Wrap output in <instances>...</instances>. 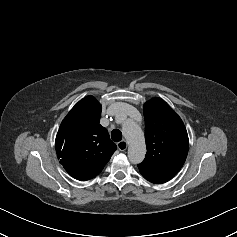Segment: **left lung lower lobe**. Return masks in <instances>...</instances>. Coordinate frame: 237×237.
<instances>
[{
	"instance_id": "1",
	"label": "left lung lower lobe",
	"mask_w": 237,
	"mask_h": 237,
	"mask_svg": "<svg viewBox=\"0 0 237 237\" xmlns=\"http://www.w3.org/2000/svg\"><path fill=\"white\" fill-rule=\"evenodd\" d=\"M140 173H141V172H140ZM141 174H142V176H143L146 180H148V181H150V182H152V183H155V184H161V183L167 182V181H164V180H161V179L152 177V176H150V175H148V174H145V173H141Z\"/></svg>"
}]
</instances>
